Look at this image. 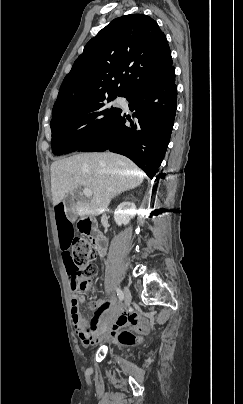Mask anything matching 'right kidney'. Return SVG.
Masks as SVG:
<instances>
[{"instance_id":"obj_1","label":"right kidney","mask_w":243,"mask_h":404,"mask_svg":"<svg viewBox=\"0 0 243 404\" xmlns=\"http://www.w3.org/2000/svg\"><path fill=\"white\" fill-rule=\"evenodd\" d=\"M128 208H129V202H125V204H120L117 210H115L114 220L117 226H122V224L126 226V224H129L130 220L134 218L135 214H128L127 212Z\"/></svg>"}]
</instances>
